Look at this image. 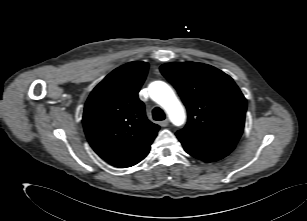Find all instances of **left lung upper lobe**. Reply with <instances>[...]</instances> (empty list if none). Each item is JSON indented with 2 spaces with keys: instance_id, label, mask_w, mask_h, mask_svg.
Masks as SVG:
<instances>
[{
  "instance_id": "obj_1",
  "label": "left lung upper lobe",
  "mask_w": 307,
  "mask_h": 221,
  "mask_svg": "<svg viewBox=\"0 0 307 221\" xmlns=\"http://www.w3.org/2000/svg\"><path fill=\"white\" fill-rule=\"evenodd\" d=\"M163 76L177 89L188 111L180 134L236 145L245 123L247 102L233 79L203 63H166Z\"/></svg>"
}]
</instances>
